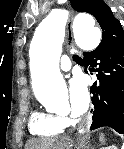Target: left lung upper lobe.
Listing matches in <instances>:
<instances>
[{
	"label": "left lung upper lobe",
	"mask_w": 124,
	"mask_h": 149,
	"mask_svg": "<svg viewBox=\"0 0 124 149\" xmlns=\"http://www.w3.org/2000/svg\"><path fill=\"white\" fill-rule=\"evenodd\" d=\"M78 12L92 14L102 29V41L95 50L120 45L124 42V30L103 0H70Z\"/></svg>",
	"instance_id": "left-lung-upper-lobe-1"
}]
</instances>
